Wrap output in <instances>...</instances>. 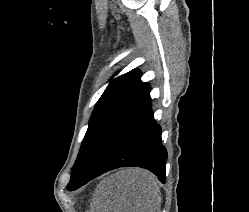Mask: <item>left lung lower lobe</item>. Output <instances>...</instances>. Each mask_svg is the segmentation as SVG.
I'll return each mask as SVG.
<instances>
[{
	"label": "left lung lower lobe",
	"instance_id": "left-lung-lower-lobe-1",
	"mask_svg": "<svg viewBox=\"0 0 249 212\" xmlns=\"http://www.w3.org/2000/svg\"><path fill=\"white\" fill-rule=\"evenodd\" d=\"M150 86L109 129L80 176L69 182L73 191L101 174L137 166L148 169L165 182L167 151L161 141V127L151 109Z\"/></svg>",
	"mask_w": 249,
	"mask_h": 212
}]
</instances>
